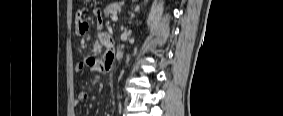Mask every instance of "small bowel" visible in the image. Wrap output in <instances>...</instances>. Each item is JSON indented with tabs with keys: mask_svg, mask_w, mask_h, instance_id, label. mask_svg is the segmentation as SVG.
Segmentation results:
<instances>
[{
	"mask_svg": "<svg viewBox=\"0 0 283 116\" xmlns=\"http://www.w3.org/2000/svg\"><path fill=\"white\" fill-rule=\"evenodd\" d=\"M98 10V11H97ZM94 15L97 20V27L99 29L98 38L99 41L103 44L108 42V35L105 34L101 29L103 26V17L100 9L94 10ZM78 30L77 33L79 35H84L88 30V24L82 20L81 13L78 14ZM114 59V54L112 51H108L101 58L94 57H84L81 61H79L75 66V71L77 73H82L86 68H88L91 72L94 73H106L109 71ZM111 61V63H110ZM90 98V93L86 90H81L76 99V103L87 101Z\"/></svg>",
	"mask_w": 283,
	"mask_h": 116,
	"instance_id": "1",
	"label": "small bowel"
}]
</instances>
